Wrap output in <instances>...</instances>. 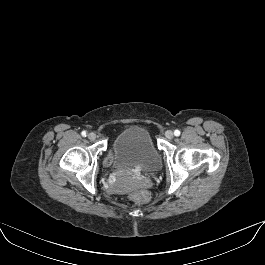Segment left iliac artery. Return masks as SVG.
<instances>
[{
  "label": "left iliac artery",
  "instance_id": "obj_1",
  "mask_svg": "<svg viewBox=\"0 0 265 265\" xmlns=\"http://www.w3.org/2000/svg\"><path fill=\"white\" fill-rule=\"evenodd\" d=\"M174 135H175V136H179V135H180V131H179V130H175V131H174Z\"/></svg>",
  "mask_w": 265,
  "mask_h": 265
}]
</instances>
